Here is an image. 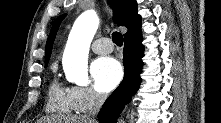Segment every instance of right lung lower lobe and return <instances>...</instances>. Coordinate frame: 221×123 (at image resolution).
Returning a JSON list of instances; mask_svg holds the SVG:
<instances>
[{
  "mask_svg": "<svg viewBox=\"0 0 221 123\" xmlns=\"http://www.w3.org/2000/svg\"><path fill=\"white\" fill-rule=\"evenodd\" d=\"M123 63L125 75L117 89L105 101L98 114L100 123H115L125 104L131 101L138 90L142 71L144 46L141 44L142 35L124 39Z\"/></svg>",
  "mask_w": 221,
  "mask_h": 123,
  "instance_id": "obj_1",
  "label": "right lung lower lobe"
}]
</instances>
